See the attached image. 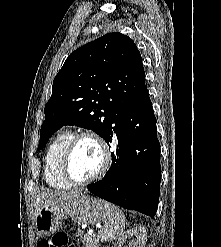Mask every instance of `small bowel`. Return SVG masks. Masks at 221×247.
Instances as JSON below:
<instances>
[{"instance_id":"obj_1","label":"small bowel","mask_w":221,"mask_h":247,"mask_svg":"<svg viewBox=\"0 0 221 247\" xmlns=\"http://www.w3.org/2000/svg\"><path fill=\"white\" fill-rule=\"evenodd\" d=\"M43 241H44V240L39 241L38 244H37V247H39V243H40V242H43Z\"/></svg>"}]
</instances>
